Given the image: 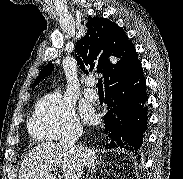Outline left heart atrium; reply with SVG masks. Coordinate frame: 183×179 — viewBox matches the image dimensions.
Listing matches in <instances>:
<instances>
[{
  "label": "left heart atrium",
  "mask_w": 183,
  "mask_h": 179,
  "mask_svg": "<svg viewBox=\"0 0 183 179\" xmlns=\"http://www.w3.org/2000/svg\"><path fill=\"white\" fill-rule=\"evenodd\" d=\"M81 114H82V117L83 119L86 121V122H92L94 120V111L91 107L89 106H84L82 107L81 109Z\"/></svg>",
  "instance_id": "1"
}]
</instances>
